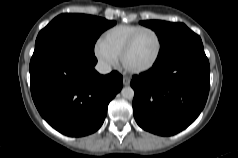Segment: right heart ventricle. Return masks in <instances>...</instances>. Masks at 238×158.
I'll use <instances>...</instances> for the list:
<instances>
[{"label": "right heart ventricle", "instance_id": "right-heart-ventricle-1", "mask_svg": "<svg viewBox=\"0 0 238 158\" xmlns=\"http://www.w3.org/2000/svg\"><path fill=\"white\" fill-rule=\"evenodd\" d=\"M141 28L139 25H116L106 30L100 41L118 57L129 38Z\"/></svg>", "mask_w": 238, "mask_h": 158}]
</instances>
